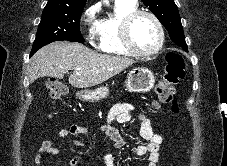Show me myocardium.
<instances>
[{"mask_svg":"<svg viewBox=\"0 0 227 166\" xmlns=\"http://www.w3.org/2000/svg\"><path fill=\"white\" fill-rule=\"evenodd\" d=\"M141 16L149 17L155 24L158 32V40L156 45L151 50H141L133 42L131 37V29L134 22ZM120 39L124 47L133 55L140 57H149L160 52L164 44V30L157 16L149 11L136 10L127 15L120 25Z\"/></svg>","mask_w":227,"mask_h":166,"instance_id":"f54148a6","label":"myocardium"}]
</instances>
